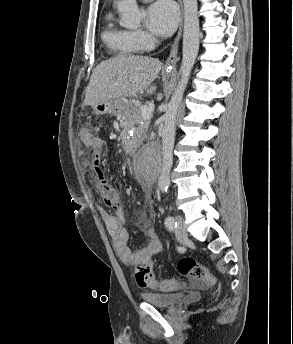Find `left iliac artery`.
Masks as SVG:
<instances>
[{"mask_svg": "<svg viewBox=\"0 0 293 344\" xmlns=\"http://www.w3.org/2000/svg\"><path fill=\"white\" fill-rule=\"evenodd\" d=\"M165 226L168 230L172 231L177 226V222L174 217L168 215L165 219Z\"/></svg>", "mask_w": 293, "mask_h": 344, "instance_id": "1", "label": "left iliac artery"}]
</instances>
